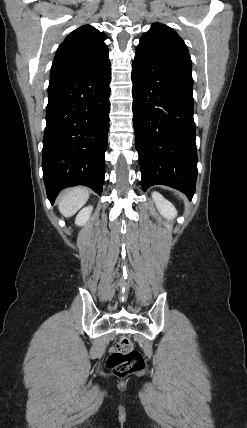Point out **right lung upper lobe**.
<instances>
[{
    "label": "right lung upper lobe",
    "mask_w": 247,
    "mask_h": 428,
    "mask_svg": "<svg viewBox=\"0 0 247 428\" xmlns=\"http://www.w3.org/2000/svg\"><path fill=\"white\" fill-rule=\"evenodd\" d=\"M107 36L92 26L74 30L60 44L50 73V79L83 72L108 57L104 43Z\"/></svg>",
    "instance_id": "right-lung-upper-lobe-1"
}]
</instances>
